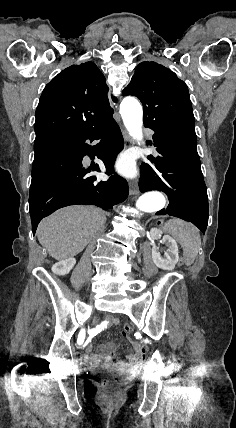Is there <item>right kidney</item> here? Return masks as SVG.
<instances>
[{
    "mask_svg": "<svg viewBox=\"0 0 236 428\" xmlns=\"http://www.w3.org/2000/svg\"><path fill=\"white\" fill-rule=\"evenodd\" d=\"M76 264L75 258H67V260H59L56 262L54 266H52L51 270L54 274H58V276H65V274H69L70 270L74 268Z\"/></svg>",
    "mask_w": 236,
    "mask_h": 428,
    "instance_id": "ca27d5eb",
    "label": "right kidney"
}]
</instances>
